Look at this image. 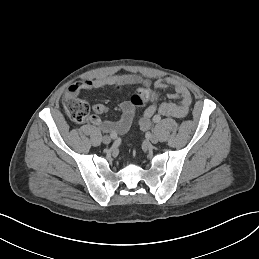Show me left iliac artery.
<instances>
[{
    "mask_svg": "<svg viewBox=\"0 0 259 259\" xmlns=\"http://www.w3.org/2000/svg\"><path fill=\"white\" fill-rule=\"evenodd\" d=\"M160 120H161V116L158 115V114L153 117V122L154 123H158V122H160Z\"/></svg>",
    "mask_w": 259,
    "mask_h": 259,
    "instance_id": "left-iliac-artery-1",
    "label": "left iliac artery"
}]
</instances>
